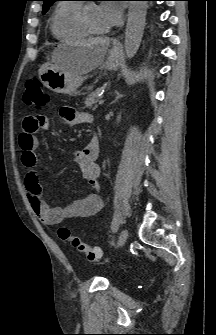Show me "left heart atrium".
Returning a JSON list of instances; mask_svg holds the SVG:
<instances>
[{
  "instance_id": "39dd6f15",
  "label": "left heart atrium",
  "mask_w": 216,
  "mask_h": 335,
  "mask_svg": "<svg viewBox=\"0 0 216 335\" xmlns=\"http://www.w3.org/2000/svg\"><path fill=\"white\" fill-rule=\"evenodd\" d=\"M99 12L106 30H109L121 22L123 10L118 3L105 1L99 6Z\"/></svg>"
}]
</instances>
